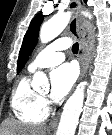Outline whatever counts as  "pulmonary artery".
<instances>
[{
    "label": "pulmonary artery",
    "mask_w": 112,
    "mask_h": 135,
    "mask_svg": "<svg viewBox=\"0 0 112 135\" xmlns=\"http://www.w3.org/2000/svg\"><path fill=\"white\" fill-rule=\"evenodd\" d=\"M70 47L67 38L57 39L43 48L31 61L28 66L30 72L39 68L53 67L64 60L63 51Z\"/></svg>",
    "instance_id": "1"
}]
</instances>
